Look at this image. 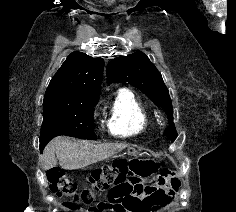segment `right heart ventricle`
Returning <instances> with one entry per match:
<instances>
[{"label": "right heart ventricle", "instance_id": "e07e8e85", "mask_svg": "<svg viewBox=\"0 0 236 212\" xmlns=\"http://www.w3.org/2000/svg\"><path fill=\"white\" fill-rule=\"evenodd\" d=\"M109 132L117 137H129L144 132L149 113L141 99L130 89H119L106 115Z\"/></svg>", "mask_w": 236, "mask_h": 212}]
</instances>
